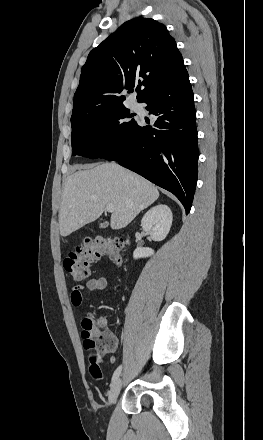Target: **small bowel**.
Returning a JSON list of instances; mask_svg holds the SVG:
<instances>
[{
    "instance_id": "c3829d8e",
    "label": "small bowel",
    "mask_w": 263,
    "mask_h": 440,
    "mask_svg": "<svg viewBox=\"0 0 263 440\" xmlns=\"http://www.w3.org/2000/svg\"><path fill=\"white\" fill-rule=\"evenodd\" d=\"M109 284V278L107 276L91 277L85 283L74 286L71 289V304L74 307L82 305L85 292L101 291L107 288ZM99 326H105L106 320L99 318L97 321ZM113 335V334H112ZM118 340L113 335V340L108 348V352H114L117 349Z\"/></svg>"
}]
</instances>
